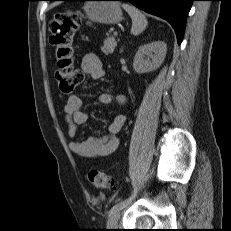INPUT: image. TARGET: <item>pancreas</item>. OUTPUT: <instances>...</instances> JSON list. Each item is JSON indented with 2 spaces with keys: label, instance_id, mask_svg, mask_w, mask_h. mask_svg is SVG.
I'll return each mask as SVG.
<instances>
[{
  "label": "pancreas",
  "instance_id": "cf45deb5",
  "mask_svg": "<svg viewBox=\"0 0 231 231\" xmlns=\"http://www.w3.org/2000/svg\"><path fill=\"white\" fill-rule=\"evenodd\" d=\"M116 46H117V42H116L115 38L113 36L107 37L104 40V45L101 48V50L105 55H109V54L113 53Z\"/></svg>",
  "mask_w": 231,
  "mask_h": 231
}]
</instances>
